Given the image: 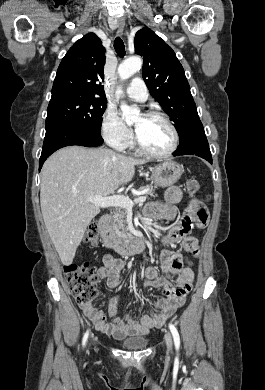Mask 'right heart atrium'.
I'll return each instance as SVG.
<instances>
[{"label": "right heart atrium", "instance_id": "d8ad5b80", "mask_svg": "<svg viewBox=\"0 0 265 390\" xmlns=\"http://www.w3.org/2000/svg\"><path fill=\"white\" fill-rule=\"evenodd\" d=\"M101 133L104 140L118 150L127 148L133 137L132 131L112 107H107L102 115Z\"/></svg>", "mask_w": 265, "mask_h": 390}]
</instances>
